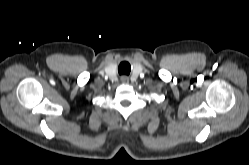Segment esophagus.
I'll return each instance as SVG.
<instances>
[{"instance_id": "34e87169", "label": "esophagus", "mask_w": 249, "mask_h": 165, "mask_svg": "<svg viewBox=\"0 0 249 165\" xmlns=\"http://www.w3.org/2000/svg\"><path fill=\"white\" fill-rule=\"evenodd\" d=\"M121 81L124 82V83H125V82H128V78H127V77H122V78H121Z\"/></svg>"}]
</instances>
